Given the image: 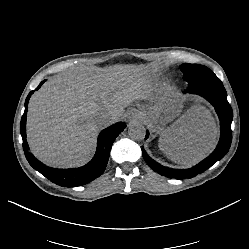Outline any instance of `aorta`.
<instances>
[{"mask_svg": "<svg viewBox=\"0 0 249 249\" xmlns=\"http://www.w3.org/2000/svg\"><path fill=\"white\" fill-rule=\"evenodd\" d=\"M128 134L133 140H143L146 135V130L141 123H132L128 128Z\"/></svg>", "mask_w": 249, "mask_h": 249, "instance_id": "1", "label": "aorta"}]
</instances>
